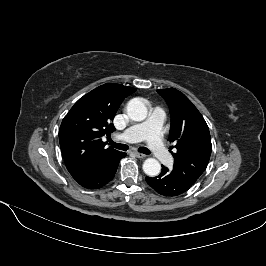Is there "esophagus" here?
<instances>
[{"instance_id":"esophagus-1","label":"esophagus","mask_w":266,"mask_h":266,"mask_svg":"<svg viewBox=\"0 0 266 266\" xmlns=\"http://www.w3.org/2000/svg\"><path fill=\"white\" fill-rule=\"evenodd\" d=\"M134 155H135V157H137V158H145V157H146V155H144V154H142V153H139V152H134Z\"/></svg>"}]
</instances>
